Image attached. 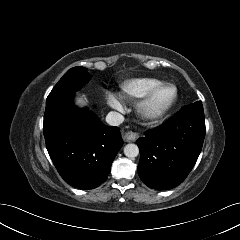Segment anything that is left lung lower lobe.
<instances>
[{
	"mask_svg": "<svg viewBox=\"0 0 240 240\" xmlns=\"http://www.w3.org/2000/svg\"><path fill=\"white\" fill-rule=\"evenodd\" d=\"M205 137L202 102L181 108L161 126L137 140L138 174L148 187L171 189L182 183L195 165Z\"/></svg>",
	"mask_w": 240,
	"mask_h": 240,
	"instance_id": "1",
	"label": "left lung lower lobe"
}]
</instances>
